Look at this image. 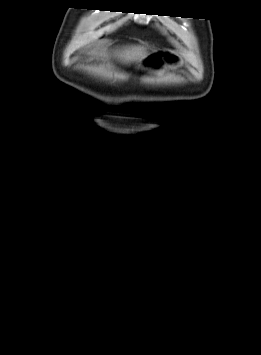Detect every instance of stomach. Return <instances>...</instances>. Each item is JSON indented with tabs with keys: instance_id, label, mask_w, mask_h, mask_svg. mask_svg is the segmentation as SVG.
I'll use <instances>...</instances> for the list:
<instances>
[{
	"instance_id": "1",
	"label": "stomach",
	"mask_w": 261,
	"mask_h": 355,
	"mask_svg": "<svg viewBox=\"0 0 261 355\" xmlns=\"http://www.w3.org/2000/svg\"><path fill=\"white\" fill-rule=\"evenodd\" d=\"M144 62L148 65L159 66H177L181 63V59L175 53L168 50H156L144 58Z\"/></svg>"
}]
</instances>
